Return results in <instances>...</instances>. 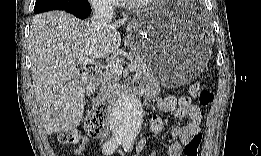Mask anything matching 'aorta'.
<instances>
[{
	"label": "aorta",
	"mask_w": 261,
	"mask_h": 156,
	"mask_svg": "<svg viewBox=\"0 0 261 156\" xmlns=\"http://www.w3.org/2000/svg\"><path fill=\"white\" fill-rule=\"evenodd\" d=\"M143 107L133 94L122 95L110 112V128L121 141L132 142L140 133L143 124Z\"/></svg>",
	"instance_id": "1"
}]
</instances>
